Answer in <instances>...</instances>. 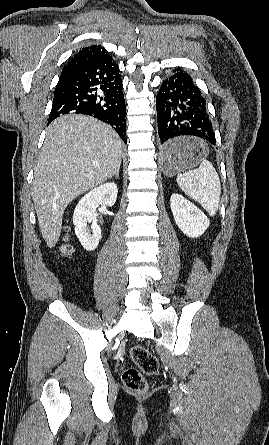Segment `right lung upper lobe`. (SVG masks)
Wrapping results in <instances>:
<instances>
[{
  "label": "right lung upper lobe",
  "mask_w": 269,
  "mask_h": 445,
  "mask_svg": "<svg viewBox=\"0 0 269 445\" xmlns=\"http://www.w3.org/2000/svg\"><path fill=\"white\" fill-rule=\"evenodd\" d=\"M106 56H109V53L100 45L83 47L63 68L59 81L68 77L76 69L93 61L105 58Z\"/></svg>",
  "instance_id": "1"
}]
</instances>
